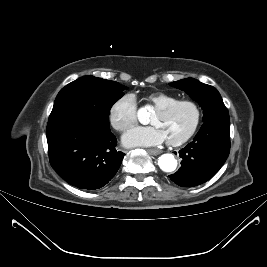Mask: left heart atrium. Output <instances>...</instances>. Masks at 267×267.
Here are the masks:
<instances>
[{"mask_svg": "<svg viewBox=\"0 0 267 267\" xmlns=\"http://www.w3.org/2000/svg\"><path fill=\"white\" fill-rule=\"evenodd\" d=\"M165 140V134L156 126L137 127L123 136V142L127 146H154Z\"/></svg>", "mask_w": 267, "mask_h": 267, "instance_id": "obj_1", "label": "left heart atrium"}]
</instances>
